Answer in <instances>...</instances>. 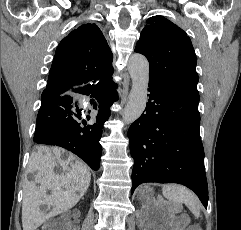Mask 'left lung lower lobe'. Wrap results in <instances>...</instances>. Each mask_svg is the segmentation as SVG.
<instances>
[{
	"instance_id": "1",
	"label": "left lung lower lobe",
	"mask_w": 241,
	"mask_h": 230,
	"mask_svg": "<svg viewBox=\"0 0 241 230\" xmlns=\"http://www.w3.org/2000/svg\"><path fill=\"white\" fill-rule=\"evenodd\" d=\"M149 91L145 112L128 130L135 161L131 191L146 182L179 183L207 208L199 95L155 80L149 81Z\"/></svg>"
}]
</instances>
